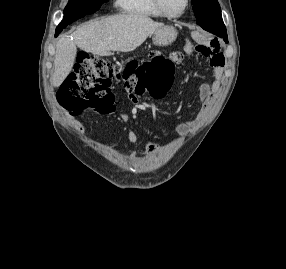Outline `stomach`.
Here are the masks:
<instances>
[{
	"instance_id": "1",
	"label": "stomach",
	"mask_w": 286,
	"mask_h": 269,
	"mask_svg": "<svg viewBox=\"0 0 286 269\" xmlns=\"http://www.w3.org/2000/svg\"><path fill=\"white\" fill-rule=\"evenodd\" d=\"M177 31L172 26H162L153 32V43L156 46H167L175 41Z\"/></svg>"
}]
</instances>
